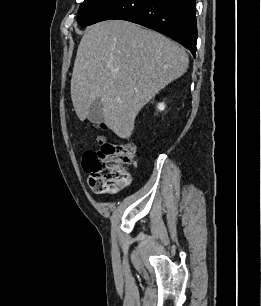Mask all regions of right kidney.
Masks as SVG:
<instances>
[{
	"instance_id": "ca27d5eb",
	"label": "right kidney",
	"mask_w": 261,
	"mask_h": 306,
	"mask_svg": "<svg viewBox=\"0 0 261 306\" xmlns=\"http://www.w3.org/2000/svg\"><path fill=\"white\" fill-rule=\"evenodd\" d=\"M159 109H160V110H163V109H164V105H163V104H160V105H159Z\"/></svg>"
}]
</instances>
